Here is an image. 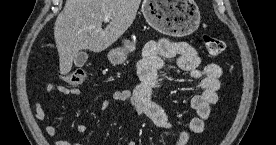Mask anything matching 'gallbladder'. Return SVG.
<instances>
[{
    "instance_id": "1",
    "label": "gallbladder",
    "mask_w": 276,
    "mask_h": 145,
    "mask_svg": "<svg viewBox=\"0 0 276 145\" xmlns=\"http://www.w3.org/2000/svg\"><path fill=\"white\" fill-rule=\"evenodd\" d=\"M88 59V55L84 51H80L77 53L76 57L74 58V64L77 67H83Z\"/></svg>"
}]
</instances>
